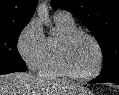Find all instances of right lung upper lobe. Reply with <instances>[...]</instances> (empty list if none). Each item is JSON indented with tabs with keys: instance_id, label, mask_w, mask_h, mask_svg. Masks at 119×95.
Masks as SVG:
<instances>
[{
	"instance_id": "right-lung-upper-lobe-1",
	"label": "right lung upper lobe",
	"mask_w": 119,
	"mask_h": 95,
	"mask_svg": "<svg viewBox=\"0 0 119 95\" xmlns=\"http://www.w3.org/2000/svg\"><path fill=\"white\" fill-rule=\"evenodd\" d=\"M37 0H0V27L28 23Z\"/></svg>"
}]
</instances>
